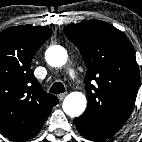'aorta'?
Masks as SVG:
<instances>
[{
	"instance_id": "1",
	"label": "aorta",
	"mask_w": 142,
	"mask_h": 142,
	"mask_svg": "<svg viewBox=\"0 0 142 142\" xmlns=\"http://www.w3.org/2000/svg\"><path fill=\"white\" fill-rule=\"evenodd\" d=\"M45 59L52 67L60 68L64 66L68 59L67 51L60 45L50 46L45 52ZM87 99L80 92L68 94L63 101L64 112L71 117L80 116L86 109Z\"/></svg>"
}]
</instances>
